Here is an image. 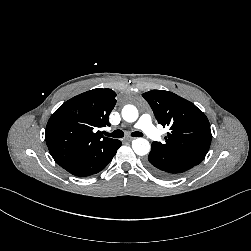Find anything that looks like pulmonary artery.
<instances>
[{
  "label": "pulmonary artery",
  "instance_id": "e3ab8cb5",
  "mask_svg": "<svg viewBox=\"0 0 251 251\" xmlns=\"http://www.w3.org/2000/svg\"><path fill=\"white\" fill-rule=\"evenodd\" d=\"M134 128L142 130L150 139L160 140L161 135L159 131L152 124V119L149 114H143L134 125Z\"/></svg>",
  "mask_w": 251,
  "mask_h": 251
}]
</instances>
